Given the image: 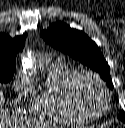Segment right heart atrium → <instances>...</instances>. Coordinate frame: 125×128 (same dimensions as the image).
I'll return each mask as SVG.
<instances>
[{
    "instance_id": "d8ad5b80",
    "label": "right heart atrium",
    "mask_w": 125,
    "mask_h": 128,
    "mask_svg": "<svg viewBox=\"0 0 125 128\" xmlns=\"http://www.w3.org/2000/svg\"><path fill=\"white\" fill-rule=\"evenodd\" d=\"M15 91L18 97H26L32 91V85L26 74L20 72L15 79Z\"/></svg>"
}]
</instances>
